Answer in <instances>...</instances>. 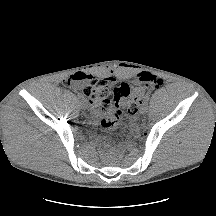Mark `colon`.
Listing matches in <instances>:
<instances>
[{"label": "colon", "mask_w": 216, "mask_h": 216, "mask_svg": "<svg viewBox=\"0 0 216 216\" xmlns=\"http://www.w3.org/2000/svg\"><path fill=\"white\" fill-rule=\"evenodd\" d=\"M143 86L130 90L129 86L120 85L111 89L110 82L106 78H85L80 87L81 94L87 98L100 112L104 113L101 127L106 131H116L120 128L123 115L122 107L125 106L129 114L134 115L138 107L148 96V88L160 87L162 79L143 73L140 76ZM111 97V98H110ZM113 103L114 108L110 109Z\"/></svg>", "instance_id": "1"}]
</instances>
